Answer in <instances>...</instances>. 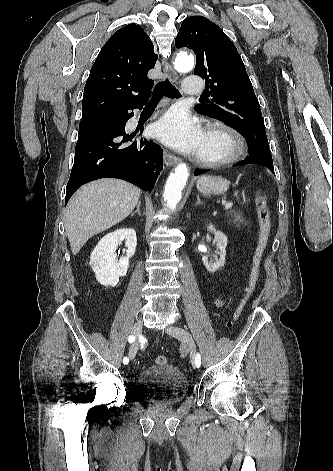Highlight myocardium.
<instances>
[{
    "mask_svg": "<svg viewBox=\"0 0 333 471\" xmlns=\"http://www.w3.org/2000/svg\"><path fill=\"white\" fill-rule=\"evenodd\" d=\"M204 133L221 134L228 142V150L220 156H207L202 152H198L197 161L205 167H217L230 164L236 161L245 150V142L243 137L233 127L220 121L208 123L204 128Z\"/></svg>",
    "mask_w": 333,
    "mask_h": 471,
    "instance_id": "obj_1",
    "label": "myocardium"
}]
</instances>
